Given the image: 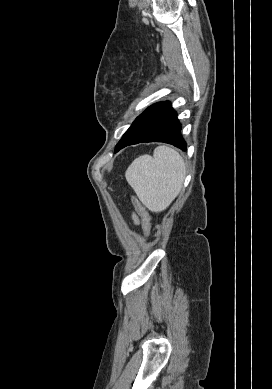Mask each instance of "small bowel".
<instances>
[{
  "instance_id": "c3829d8e",
  "label": "small bowel",
  "mask_w": 272,
  "mask_h": 389,
  "mask_svg": "<svg viewBox=\"0 0 272 389\" xmlns=\"http://www.w3.org/2000/svg\"><path fill=\"white\" fill-rule=\"evenodd\" d=\"M134 221H135L136 224L140 223V221H139V219H138V217L136 215L134 216Z\"/></svg>"
}]
</instances>
